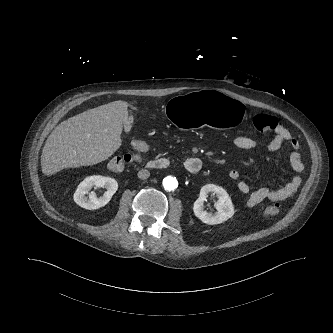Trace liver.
<instances>
[{
	"label": "liver",
	"mask_w": 333,
	"mask_h": 333,
	"mask_svg": "<svg viewBox=\"0 0 333 333\" xmlns=\"http://www.w3.org/2000/svg\"><path fill=\"white\" fill-rule=\"evenodd\" d=\"M126 101H113L61 122L48 136L41 155L45 175L65 168L91 166L112 156L121 146Z\"/></svg>",
	"instance_id": "1"
}]
</instances>
